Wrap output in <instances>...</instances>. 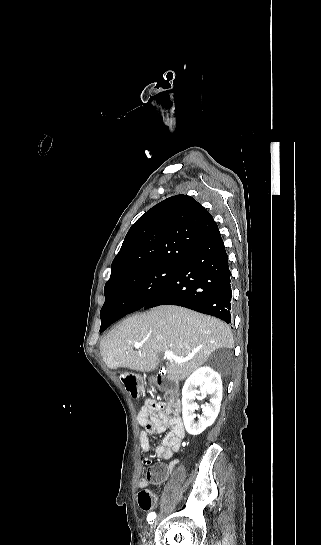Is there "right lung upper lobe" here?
<instances>
[{
	"mask_svg": "<svg viewBox=\"0 0 321 545\" xmlns=\"http://www.w3.org/2000/svg\"><path fill=\"white\" fill-rule=\"evenodd\" d=\"M217 232L212 215L194 198H167L131 226L113 260L105 287L129 272L161 264L182 265Z\"/></svg>",
	"mask_w": 321,
	"mask_h": 545,
	"instance_id": "obj_1",
	"label": "right lung upper lobe"
}]
</instances>
